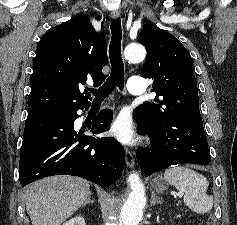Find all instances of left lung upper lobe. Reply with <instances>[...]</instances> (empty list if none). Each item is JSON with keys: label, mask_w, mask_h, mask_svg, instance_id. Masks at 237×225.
Wrapping results in <instances>:
<instances>
[{"label": "left lung upper lobe", "mask_w": 237, "mask_h": 225, "mask_svg": "<svg viewBox=\"0 0 237 225\" xmlns=\"http://www.w3.org/2000/svg\"><path fill=\"white\" fill-rule=\"evenodd\" d=\"M138 41L147 50L141 76L154 80L151 91L156 92L155 103L136 108L139 119L156 129L199 107L192 59L182 43L152 23L143 27Z\"/></svg>", "instance_id": "obj_1"}]
</instances>
